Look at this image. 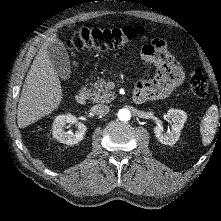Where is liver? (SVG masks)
<instances>
[{
  "label": "liver",
  "mask_w": 221,
  "mask_h": 221,
  "mask_svg": "<svg viewBox=\"0 0 221 221\" xmlns=\"http://www.w3.org/2000/svg\"><path fill=\"white\" fill-rule=\"evenodd\" d=\"M57 41V34L47 39L27 73L17 109L19 128H24L52 113L61 103V83L47 52L49 43Z\"/></svg>",
  "instance_id": "1"
}]
</instances>
